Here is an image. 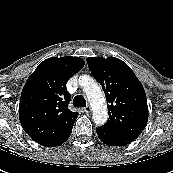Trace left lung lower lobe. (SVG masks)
I'll use <instances>...</instances> for the list:
<instances>
[{"label": "left lung lower lobe", "instance_id": "obj_1", "mask_svg": "<svg viewBox=\"0 0 173 173\" xmlns=\"http://www.w3.org/2000/svg\"><path fill=\"white\" fill-rule=\"evenodd\" d=\"M99 139L106 145L109 146H125L135 139L119 135L114 131L108 130L104 127L96 128Z\"/></svg>", "mask_w": 173, "mask_h": 173}]
</instances>
